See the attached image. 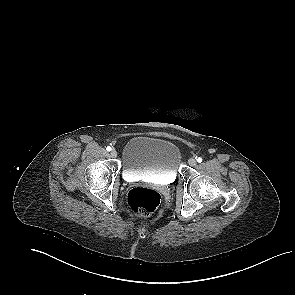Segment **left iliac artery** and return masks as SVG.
Segmentation results:
<instances>
[{"label":"left iliac artery","mask_w":295,"mask_h":295,"mask_svg":"<svg viewBox=\"0 0 295 295\" xmlns=\"http://www.w3.org/2000/svg\"><path fill=\"white\" fill-rule=\"evenodd\" d=\"M197 161H198L199 163H201V162H202V158H201V157H198V158H197Z\"/></svg>","instance_id":"left-iliac-artery-1"}]
</instances>
